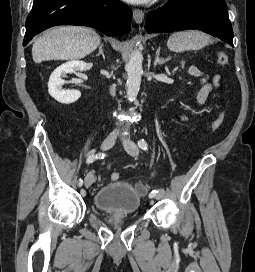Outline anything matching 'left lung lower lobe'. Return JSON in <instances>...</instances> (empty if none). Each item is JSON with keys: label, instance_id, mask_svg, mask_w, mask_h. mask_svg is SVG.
Returning a JSON list of instances; mask_svg holds the SVG:
<instances>
[{"label": "left lung lower lobe", "instance_id": "0a47b994", "mask_svg": "<svg viewBox=\"0 0 255 272\" xmlns=\"http://www.w3.org/2000/svg\"><path fill=\"white\" fill-rule=\"evenodd\" d=\"M145 29L152 33L197 29L233 46V29L224 0H169L148 13Z\"/></svg>", "mask_w": 255, "mask_h": 272}]
</instances>
